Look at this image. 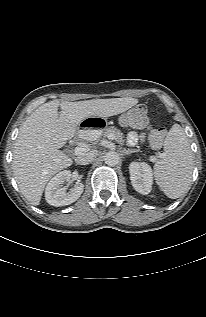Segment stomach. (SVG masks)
I'll return each mask as SVG.
<instances>
[{
  "instance_id": "1",
  "label": "stomach",
  "mask_w": 206,
  "mask_h": 317,
  "mask_svg": "<svg viewBox=\"0 0 206 317\" xmlns=\"http://www.w3.org/2000/svg\"><path fill=\"white\" fill-rule=\"evenodd\" d=\"M117 125V118L114 115H103L88 117L76 125L75 133L79 139L86 142H94L100 138V133Z\"/></svg>"
}]
</instances>
